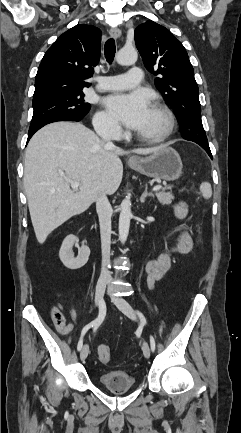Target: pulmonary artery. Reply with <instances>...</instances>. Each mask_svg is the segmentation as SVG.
Listing matches in <instances>:
<instances>
[{"label":"pulmonary artery","instance_id":"obj_1","mask_svg":"<svg viewBox=\"0 0 241 433\" xmlns=\"http://www.w3.org/2000/svg\"><path fill=\"white\" fill-rule=\"evenodd\" d=\"M143 73L139 66H133L127 74L104 76L100 78L98 88L105 91L128 90L141 84Z\"/></svg>","mask_w":241,"mask_h":433}]
</instances>
